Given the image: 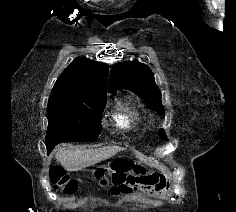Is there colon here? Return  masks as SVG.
<instances>
[{
	"mask_svg": "<svg viewBox=\"0 0 236 212\" xmlns=\"http://www.w3.org/2000/svg\"><path fill=\"white\" fill-rule=\"evenodd\" d=\"M130 165L125 160H116L110 166L100 168L95 172V178L101 185L112 183L115 185L118 175H129ZM50 180L53 186L65 193L71 194L75 192L77 183L71 179L65 172L59 167H53L50 170ZM121 193V192H119Z\"/></svg>",
	"mask_w": 236,
	"mask_h": 212,
	"instance_id": "obj_1",
	"label": "colon"
}]
</instances>
